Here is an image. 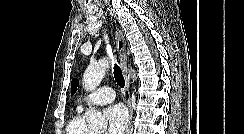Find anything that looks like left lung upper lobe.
Masks as SVG:
<instances>
[{
    "label": "left lung upper lobe",
    "instance_id": "5c2ea615",
    "mask_svg": "<svg viewBox=\"0 0 244 134\" xmlns=\"http://www.w3.org/2000/svg\"><path fill=\"white\" fill-rule=\"evenodd\" d=\"M77 86H78V80L77 79H73L72 83H71V95H73L76 90H77Z\"/></svg>",
    "mask_w": 244,
    "mask_h": 134
}]
</instances>
